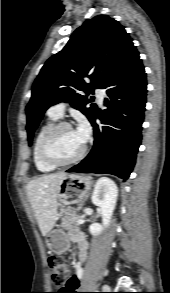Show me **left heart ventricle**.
<instances>
[{
    "mask_svg": "<svg viewBox=\"0 0 170 293\" xmlns=\"http://www.w3.org/2000/svg\"><path fill=\"white\" fill-rule=\"evenodd\" d=\"M83 147V142L76 131L69 128L60 129L49 145V153L58 160H68L77 155Z\"/></svg>",
    "mask_w": 170,
    "mask_h": 293,
    "instance_id": "obj_1",
    "label": "left heart ventricle"
}]
</instances>
